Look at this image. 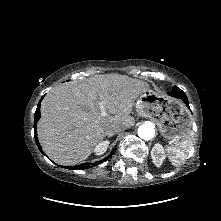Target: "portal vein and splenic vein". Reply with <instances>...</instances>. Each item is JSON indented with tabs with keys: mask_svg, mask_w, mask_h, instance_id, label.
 Listing matches in <instances>:
<instances>
[{
	"mask_svg": "<svg viewBox=\"0 0 221 221\" xmlns=\"http://www.w3.org/2000/svg\"><path fill=\"white\" fill-rule=\"evenodd\" d=\"M97 103H98L99 108L101 110V115L106 116V110H105V107H104V102L103 101H98Z\"/></svg>",
	"mask_w": 221,
	"mask_h": 221,
	"instance_id": "1",
	"label": "portal vein and splenic vein"
}]
</instances>
